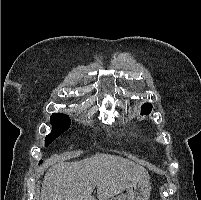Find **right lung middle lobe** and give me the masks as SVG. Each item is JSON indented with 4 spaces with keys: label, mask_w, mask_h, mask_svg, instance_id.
Returning <instances> with one entry per match:
<instances>
[{
    "label": "right lung middle lobe",
    "mask_w": 201,
    "mask_h": 200,
    "mask_svg": "<svg viewBox=\"0 0 201 200\" xmlns=\"http://www.w3.org/2000/svg\"><path fill=\"white\" fill-rule=\"evenodd\" d=\"M50 123L52 125V131L45 138L46 146H48L49 143L54 141L55 138H57L60 134L65 132L70 127L71 121L68 115L61 113H54L51 116Z\"/></svg>",
    "instance_id": "obj_1"
}]
</instances>
